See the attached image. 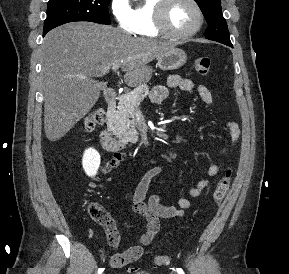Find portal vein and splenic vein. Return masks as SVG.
<instances>
[{
  "label": "portal vein and splenic vein",
  "instance_id": "18ae733b",
  "mask_svg": "<svg viewBox=\"0 0 289 274\" xmlns=\"http://www.w3.org/2000/svg\"><path fill=\"white\" fill-rule=\"evenodd\" d=\"M120 65L119 64H113L112 65V70L115 72L119 69Z\"/></svg>",
  "mask_w": 289,
  "mask_h": 274
}]
</instances>
